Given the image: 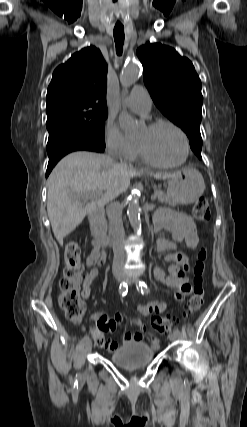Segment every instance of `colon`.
Returning a JSON list of instances; mask_svg holds the SVG:
<instances>
[{"label": "colon", "mask_w": 247, "mask_h": 427, "mask_svg": "<svg viewBox=\"0 0 247 427\" xmlns=\"http://www.w3.org/2000/svg\"><path fill=\"white\" fill-rule=\"evenodd\" d=\"M193 215L202 223H208L210 221L211 210L208 200L205 197H200L196 200L193 207ZM80 257V243L77 240L68 241L64 250L65 268L63 277L59 283L60 293L58 302L66 317L74 323L80 322L84 315V302L80 295V285L82 281ZM206 258L207 252L202 249L198 254V260L194 267V279L190 287L191 296L188 300L184 316L196 313L203 304ZM179 323L180 319L172 316L154 317L151 320V326L159 333L169 332L174 327L178 326ZM101 331L102 330L97 326L92 333L98 345L106 346Z\"/></svg>", "instance_id": "5ec220e1"}]
</instances>
